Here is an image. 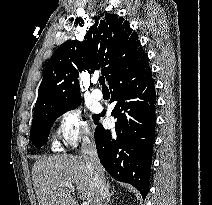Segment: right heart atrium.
<instances>
[{
	"instance_id": "1",
	"label": "right heart atrium",
	"mask_w": 212,
	"mask_h": 205,
	"mask_svg": "<svg viewBox=\"0 0 212 205\" xmlns=\"http://www.w3.org/2000/svg\"><path fill=\"white\" fill-rule=\"evenodd\" d=\"M57 135L67 147H75L80 142H88L92 137L87 119L78 108H70L60 114Z\"/></svg>"
}]
</instances>
